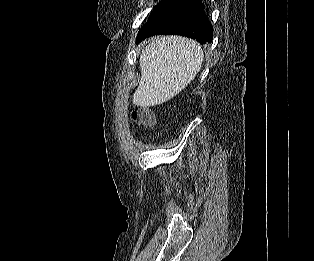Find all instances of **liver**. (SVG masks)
<instances>
[{"instance_id": "6515ba94", "label": "liver", "mask_w": 314, "mask_h": 261, "mask_svg": "<svg viewBox=\"0 0 314 261\" xmlns=\"http://www.w3.org/2000/svg\"><path fill=\"white\" fill-rule=\"evenodd\" d=\"M203 58L201 46L192 39L164 36L152 40L140 54L141 80L133 104L150 107L170 100L196 77Z\"/></svg>"}]
</instances>
